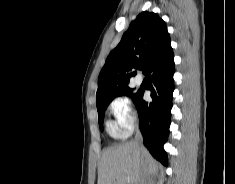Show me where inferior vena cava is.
I'll use <instances>...</instances> for the list:
<instances>
[{
  "label": "inferior vena cava",
  "mask_w": 235,
  "mask_h": 184,
  "mask_svg": "<svg viewBox=\"0 0 235 184\" xmlns=\"http://www.w3.org/2000/svg\"><path fill=\"white\" fill-rule=\"evenodd\" d=\"M142 142H143L142 136H141L139 130H137L133 144H134V146H136V148H140V146H142Z\"/></svg>",
  "instance_id": "obj_1"
}]
</instances>
